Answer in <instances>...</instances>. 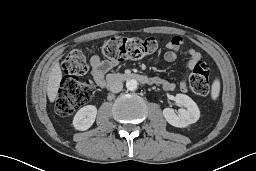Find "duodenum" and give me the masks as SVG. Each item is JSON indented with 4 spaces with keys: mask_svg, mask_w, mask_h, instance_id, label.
<instances>
[{
    "mask_svg": "<svg viewBox=\"0 0 256 171\" xmlns=\"http://www.w3.org/2000/svg\"><path fill=\"white\" fill-rule=\"evenodd\" d=\"M129 80H135L143 84H149L152 82V80L147 76L138 73H112L107 77L104 85L108 86L116 82H123Z\"/></svg>",
    "mask_w": 256,
    "mask_h": 171,
    "instance_id": "duodenum-1",
    "label": "duodenum"
}]
</instances>
